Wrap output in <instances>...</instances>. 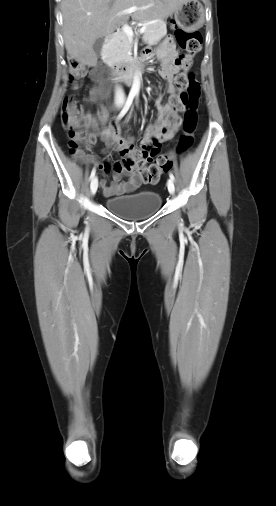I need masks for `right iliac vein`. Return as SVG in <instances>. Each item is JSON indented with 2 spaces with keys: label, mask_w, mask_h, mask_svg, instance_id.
Listing matches in <instances>:
<instances>
[{
  "label": "right iliac vein",
  "mask_w": 276,
  "mask_h": 506,
  "mask_svg": "<svg viewBox=\"0 0 276 506\" xmlns=\"http://www.w3.org/2000/svg\"><path fill=\"white\" fill-rule=\"evenodd\" d=\"M97 188H98V179L95 177L92 181H91V184H90V189H91V193L92 195H95L96 191H97Z\"/></svg>",
  "instance_id": "1"
}]
</instances>
